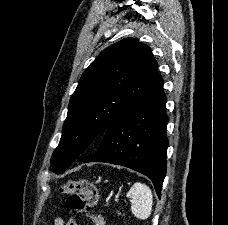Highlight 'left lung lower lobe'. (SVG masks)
Listing matches in <instances>:
<instances>
[{"mask_svg":"<svg viewBox=\"0 0 228 225\" xmlns=\"http://www.w3.org/2000/svg\"><path fill=\"white\" fill-rule=\"evenodd\" d=\"M166 97L160 77L152 88L104 133L98 151L84 163L121 165L149 177L160 197L166 175Z\"/></svg>","mask_w":228,"mask_h":225,"instance_id":"obj_1","label":"left lung lower lobe"}]
</instances>
